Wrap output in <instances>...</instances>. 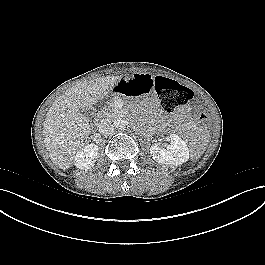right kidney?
I'll return each mask as SVG.
<instances>
[{
  "mask_svg": "<svg viewBox=\"0 0 265 265\" xmlns=\"http://www.w3.org/2000/svg\"><path fill=\"white\" fill-rule=\"evenodd\" d=\"M98 158V146L94 143L84 146L79 150L74 159V165L82 170H88L94 166Z\"/></svg>",
  "mask_w": 265,
  "mask_h": 265,
  "instance_id": "right-kidney-1",
  "label": "right kidney"
}]
</instances>
